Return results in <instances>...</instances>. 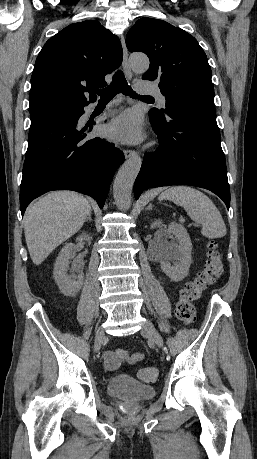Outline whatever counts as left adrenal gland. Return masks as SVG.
I'll use <instances>...</instances> for the list:
<instances>
[{"mask_svg":"<svg viewBox=\"0 0 257 459\" xmlns=\"http://www.w3.org/2000/svg\"><path fill=\"white\" fill-rule=\"evenodd\" d=\"M152 207H153L152 204L149 203L148 206L146 207V210H152Z\"/></svg>","mask_w":257,"mask_h":459,"instance_id":"a2214340","label":"left adrenal gland"}]
</instances>
